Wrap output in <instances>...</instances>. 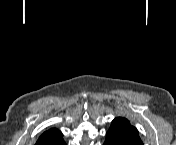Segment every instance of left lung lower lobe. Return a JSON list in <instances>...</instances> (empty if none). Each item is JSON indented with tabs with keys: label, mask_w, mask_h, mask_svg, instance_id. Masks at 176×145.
<instances>
[{
	"label": "left lung lower lobe",
	"mask_w": 176,
	"mask_h": 145,
	"mask_svg": "<svg viewBox=\"0 0 176 145\" xmlns=\"http://www.w3.org/2000/svg\"><path fill=\"white\" fill-rule=\"evenodd\" d=\"M104 145H124V144L114 136L106 134V140Z\"/></svg>",
	"instance_id": "0a47b994"
}]
</instances>
